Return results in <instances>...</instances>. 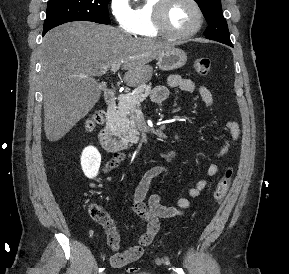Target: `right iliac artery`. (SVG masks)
I'll return each mask as SVG.
<instances>
[{
  "instance_id": "obj_1",
  "label": "right iliac artery",
  "mask_w": 289,
  "mask_h": 274,
  "mask_svg": "<svg viewBox=\"0 0 289 274\" xmlns=\"http://www.w3.org/2000/svg\"><path fill=\"white\" fill-rule=\"evenodd\" d=\"M104 270V268H99V273H101Z\"/></svg>"
}]
</instances>
